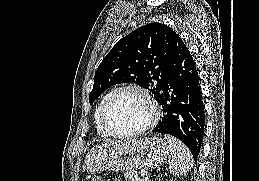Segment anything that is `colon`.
<instances>
[{"mask_svg": "<svg viewBox=\"0 0 259 181\" xmlns=\"http://www.w3.org/2000/svg\"><path fill=\"white\" fill-rule=\"evenodd\" d=\"M92 181H104L102 178L95 177Z\"/></svg>", "mask_w": 259, "mask_h": 181, "instance_id": "5ec220e1", "label": "colon"}]
</instances>
